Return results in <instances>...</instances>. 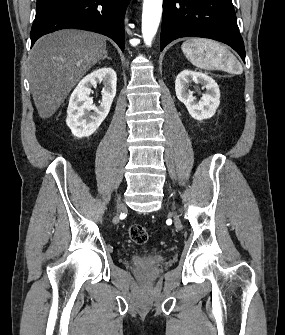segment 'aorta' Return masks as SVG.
<instances>
[{"mask_svg": "<svg viewBox=\"0 0 285 335\" xmlns=\"http://www.w3.org/2000/svg\"><path fill=\"white\" fill-rule=\"evenodd\" d=\"M163 0H144L142 34L146 46H151L161 20Z\"/></svg>", "mask_w": 285, "mask_h": 335, "instance_id": "762f6f07", "label": "aorta"}]
</instances>
